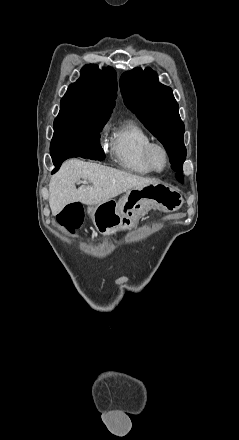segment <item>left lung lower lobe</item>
Listing matches in <instances>:
<instances>
[{
	"instance_id": "obj_1",
	"label": "left lung lower lobe",
	"mask_w": 239,
	"mask_h": 440,
	"mask_svg": "<svg viewBox=\"0 0 239 440\" xmlns=\"http://www.w3.org/2000/svg\"><path fill=\"white\" fill-rule=\"evenodd\" d=\"M177 178H178L180 181H182V179H183L182 171H179V172H178V174H177Z\"/></svg>"
}]
</instances>
